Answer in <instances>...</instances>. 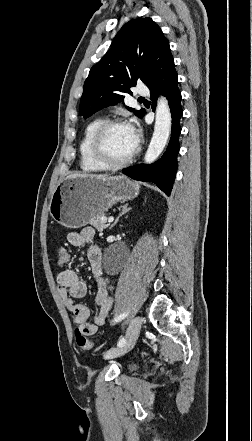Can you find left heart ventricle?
Returning a JSON list of instances; mask_svg holds the SVG:
<instances>
[{
    "label": "left heart ventricle",
    "instance_id": "obj_1",
    "mask_svg": "<svg viewBox=\"0 0 252 441\" xmlns=\"http://www.w3.org/2000/svg\"><path fill=\"white\" fill-rule=\"evenodd\" d=\"M135 146L132 144L126 125L110 128L102 139V149L112 162H119L131 154Z\"/></svg>",
    "mask_w": 252,
    "mask_h": 441
}]
</instances>
